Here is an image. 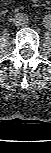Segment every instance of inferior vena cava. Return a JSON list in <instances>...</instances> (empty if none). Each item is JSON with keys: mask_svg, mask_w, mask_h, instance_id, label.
Instances as JSON below:
<instances>
[{"mask_svg": "<svg viewBox=\"0 0 51 153\" xmlns=\"http://www.w3.org/2000/svg\"><path fill=\"white\" fill-rule=\"evenodd\" d=\"M29 19L28 16L24 13H17L14 17H13V23L16 26H23L26 25L28 23Z\"/></svg>", "mask_w": 51, "mask_h": 153, "instance_id": "inferior-vena-cava-1", "label": "inferior vena cava"}]
</instances>
